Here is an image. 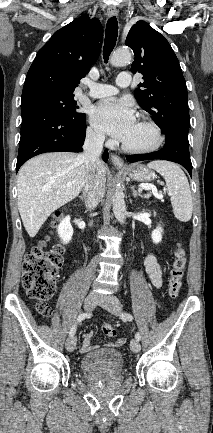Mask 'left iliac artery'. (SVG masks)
I'll list each match as a JSON object with an SVG mask.
<instances>
[{
    "instance_id": "obj_1",
    "label": "left iliac artery",
    "mask_w": 213,
    "mask_h": 433,
    "mask_svg": "<svg viewBox=\"0 0 213 433\" xmlns=\"http://www.w3.org/2000/svg\"><path fill=\"white\" fill-rule=\"evenodd\" d=\"M121 316H122V319H124V320H128V321H132V320H133L132 315L129 314V313H123ZM135 338H136L137 340H140V339H141V335H140L139 332H137V333L135 334Z\"/></svg>"
}]
</instances>
